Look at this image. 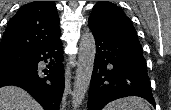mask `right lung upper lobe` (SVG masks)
Masks as SVG:
<instances>
[{
  "mask_svg": "<svg viewBox=\"0 0 171 110\" xmlns=\"http://www.w3.org/2000/svg\"><path fill=\"white\" fill-rule=\"evenodd\" d=\"M59 16L54 1H34L10 19L0 43L2 52H32L59 38Z\"/></svg>",
  "mask_w": 171,
  "mask_h": 110,
  "instance_id": "cb5924a9",
  "label": "right lung upper lobe"
}]
</instances>
